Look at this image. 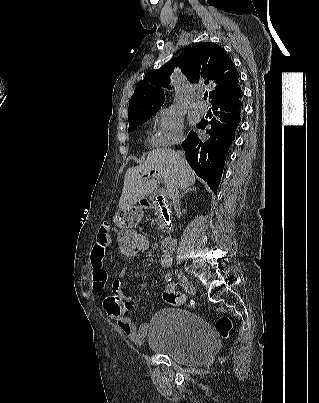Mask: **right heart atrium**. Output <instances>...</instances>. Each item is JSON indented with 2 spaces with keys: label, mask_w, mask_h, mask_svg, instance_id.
<instances>
[{
  "label": "right heart atrium",
  "mask_w": 319,
  "mask_h": 403,
  "mask_svg": "<svg viewBox=\"0 0 319 403\" xmlns=\"http://www.w3.org/2000/svg\"><path fill=\"white\" fill-rule=\"evenodd\" d=\"M151 142L155 147H169L183 140V120L172 107L159 109L153 117Z\"/></svg>",
  "instance_id": "1"
}]
</instances>
